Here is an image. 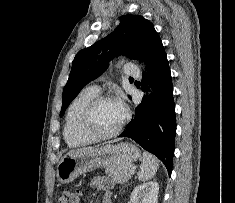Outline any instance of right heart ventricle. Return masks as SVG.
<instances>
[{"label":"right heart ventricle","instance_id":"e07e8e85","mask_svg":"<svg viewBox=\"0 0 235 203\" xmlns=\"http://www.w3.org/2000/svg\"><path fill=\"white\" fill-rule=\"evenodd\" d=\"M98 95V90L94 87L84 88L70 103L63 130L65 142L71 147H78L94 141L80 130V118L87 103Z\"/></svg>","mask_w":235,"mask_h":203}]
</instances>
